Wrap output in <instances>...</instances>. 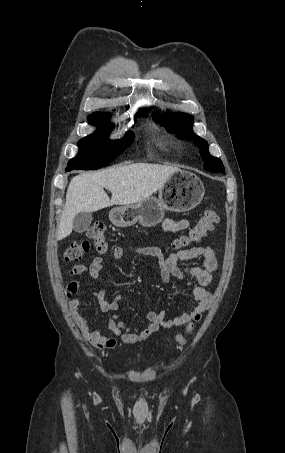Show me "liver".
<instances>
[{"label":"liver","instance_id":"1","mask_svg":"<svg viewBox=\"0 0 285 453\" xmlns=\"http://www.w3.org/2000/svg\"><path fill=\"white\" fill-rule=\"evenodd\" d=\"M178 167L136 163L116 168L83 173L70 181L66 202L57 231V240L69 236L73 219L80 212H95L116 205H132L150 197ZM104 188L112 194L108 197Z\"/></svg>","mask_w":285,"mask_h":453}]
</instances>
